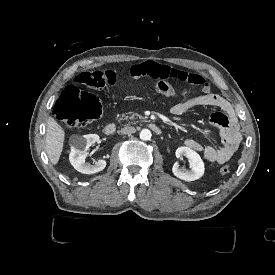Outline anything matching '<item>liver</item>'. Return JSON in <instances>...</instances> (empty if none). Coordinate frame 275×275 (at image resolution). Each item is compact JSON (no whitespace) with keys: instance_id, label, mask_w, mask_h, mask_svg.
I'll use <instances>...</instances> for the list:
<instances>
[{"instance_id":"6515ba94","label":"liver","mask_w":275,"mask_h":275,"mask_svg":"<svg viewBox=\"0 0 275 275\" xmlns=\"http://www.w3.org/2000/svg\"><path fill=\"white\" fill-rule=\"evenodd\" d=\"M66 132L58 121L49 115L46 127L45 149L52 165H57L64 147Z\"/></svg>"}]
</instances>
